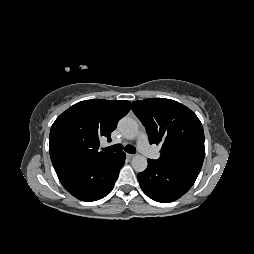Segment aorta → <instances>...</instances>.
Listing matches in <instances>:
<instances>
[{"label": "aorta", "instance_id": "762f6f07", "mask_svg": "<svg viewBox=\"0 0 254 254\" xmlns=\"http://www.w3.org/2000/svg\"><path fill=\"white\" fill-rule=\"evenodd\" d=\"M118 129L125 138L130 140L136 138L139 132L137 122L129 117H124L119 121ZM131 165L136 172H143L148 163L146 157L137 154L132 158Z\"/></svg>", "mask_w": 254, "mask_h": 254}]
</instances>
